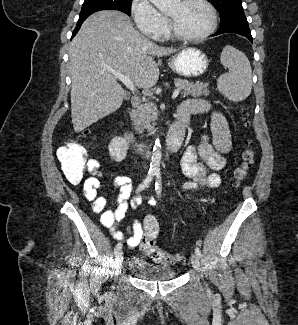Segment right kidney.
Here are the masks:
<instances>
[{"mask_svg": "<svg viewBox=\"0 0 298 325\" xmlns=\"http://www.w3.org/2000/svg\"><path fill=\"white\" fill-rule=\"evenodd\" d=\"M109 154L113 160H117V163H120V160H124L127 150L129 148V142L122 138V136H114L108 144Z\"/></svg>", "mask_w": 298, "mask_h": 325, "instance_id": "right-kidney-1", "label": "right kidney"}]
</instances>
